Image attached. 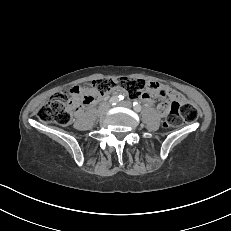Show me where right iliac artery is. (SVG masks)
Returning a JSON list of instances; mask_svg holds the SVG:
<instances>
[{"label":"right iliac artery","instance_id":"obj_1","mask_svg":"<svg viewBox=\"0 0 231 231\" xmlns=\"http://www.w3.org/2000/svg\"><path fill=\"white\" fill-rule=\"evenodd\" d=\"M124 99V96L122 95H116V96H113L110 100H109V103L111 105H116L117 103H119L121 100Z\"/></svg>","mask_w":231,"mask_h":231}]
</instances>
